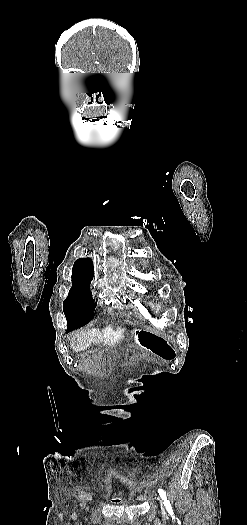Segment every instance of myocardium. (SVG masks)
Returning a JSON list of instances; mask_svg holds the SVG:
<instances>
[{"instance_id":"myocardium-1","label":"myocardium","mask_w":247,"mask_h":525,"mask_svg":"<svg viewBox=\"0 0 247 525\" xmlns=\"http://www.w3.org/2000/svg\"><path fill=\"white\" fill-rule=\"evenodd\" d=\"M151 306L154 307L155 309H159L160 308V303L159 301H151Z\"/></svg>"}]
</instances>
